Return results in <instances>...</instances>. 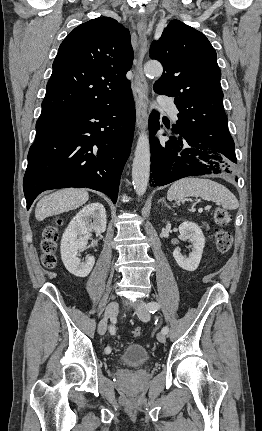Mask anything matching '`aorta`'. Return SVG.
Here are the masks:
<instances>
[{
  "mask_svg": "<svg viewBox=\"0 0 262 431\" xmlns=\"http://www.w3.org/2000/svg\"><path fill=\"white\" fill-rule=\"evenodd\" d=\"M163 67L158 62H148L144 66V73L148 78L162 75ZM150 174V144L145 131L139 135L132 164L133 187L138 196L146 192Z\"/></svg>",
  "mask_w": 262,
  "mask_h": 431,
  "instance_id": "aorta-1",
  "label": "aorta"
}]
</instances>
